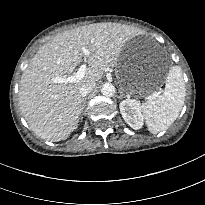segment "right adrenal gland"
Masks as SVG:
<instances>
[{
	"instance_id": "obj_1",
	"label": "right adrenal gland",
	"mask_w": 205,
	"mask_h": 205,
	"mask_svg": "<svg viewBox=\"0 0 205 205\" xmlns=\"http://www.w3.org/2000/svg\"><path fill=\"white\" fill-rule=\"evenodd\" d=\"M85 103H86V99L83 98V100H82V106H81V114H83V110H84V108H85Z\"/></svg>"
}]
</instances>
